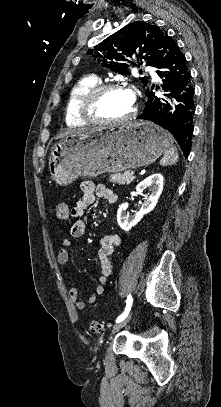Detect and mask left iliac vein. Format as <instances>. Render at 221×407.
<instances>
[{"label":"left iliac vein","instance_id":"left-iliac-vein-1","mask_svg":"<svg viewBox=\"0 0 221 407\" xmlns=\"http://www.w3.org/2000/svg\"><path fill=\"white\" fill-rule=\"evenodd\" d=\"M131 317H132V312H129L128 315L126 316V318H124L121 322L114 325L112 333H115V332L119 331L120 329H122L123 327H125L128 324V322L130 321Z\"/></svg>","mask_w":221,"mask_h":407}]
</instances>
